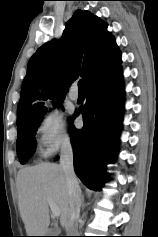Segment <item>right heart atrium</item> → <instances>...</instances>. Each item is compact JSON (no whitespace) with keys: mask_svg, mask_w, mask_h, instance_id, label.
I'll list each match as a JSON object with an SVG mask.
<instances>
[{"mask_svg":"<svg viewBox=\"0 0 158 237\" xmlns=\"http://www.w3.org/2000/svg\"><path fill=\"white\" fill-rule=\"evenodd\" d=\"M38 145L42 156L55 155L60 148L70 143L62 114L55 109H47L41 116L38 126Z\"/></svg>","mask_w":158,"mask_h":237,"instance_id":"right-heart-atrium-1","label":"right heart atrium"}]
</instances>
